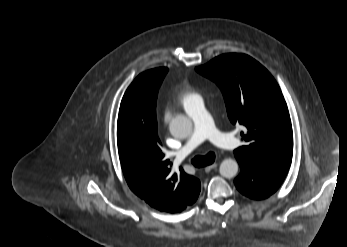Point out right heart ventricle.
<instances>
[{
    "instance_id": "right-heart-ventricle-1",
    "label": "right heart ventricle",
    "mask_w": 347,
    "mask_h": 247,
    "mask_svg": "<svg viewBox=\"0 0 347 247\" xmlns=\"http://www.w3.org/2000/svg\"><path fill=\"white\" fill-rule=\"evenodd\" d=\"M199 97L198 93L189 85H181L177 93V102L184 108L193 99Z\"/></svg>"
}]
</instances>
